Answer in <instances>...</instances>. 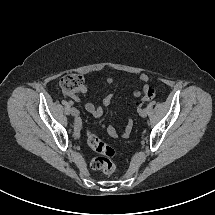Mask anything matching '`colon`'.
I'll return each mask as SVG.
<instances>
[{
	"mask_svg": "<svg viewBox=\"0 0 215 215\" xmlns=\"http://www.w3.org/2000/svg\"><path fill=\"white\" fill-rule=\"evenodd\" d=\"M62 90L69 96L80 93L84 86L83 77L76 73H69L63 76L60 82ZM156 96V89L153 86H145L142 92L141 100H151ZM139 105V104H138ZM87 143L94 149L99 156L95 157L91 161L92 168L103 172L106 175H111L116 172L117 168L112 157L115 155V151L109 145L103 143L94 133L91 131L87 134Z\"/></svg>",
	"mask_w": 215,
	"mask_h": 215,
	"instance_id": "colon-1",
	"label": "colon"
}]
</instances>
